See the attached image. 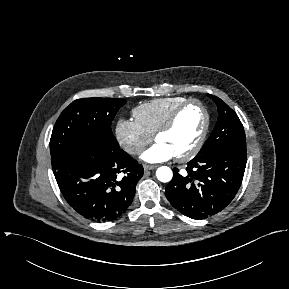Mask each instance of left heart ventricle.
<instances>
[{"label": "left heart ventricle", "instance_id": "1", "mask_svg": "<svg viewBox=\"0 0 289 289\" xmlns=\"http://www.w3.org/2000/svg\"><path fill=\"white\" fill-rule=\"evenodd\" d=\"M204 114L198 105L184 109L174 127L160 135L156 142L166 145L175 156L182 155L196 143L204 126Z\"/></svg>", "mask_w": 289, "mask_h": 289}]
</instances>
